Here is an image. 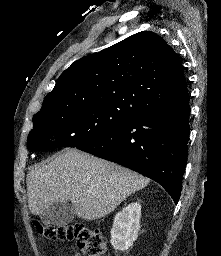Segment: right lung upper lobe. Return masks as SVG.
I'll use <instances>...</instances> for the list:
<instances>
[{"mask_svg":"<svg viewBox=\"0 0 221 256\" xmlns=\"http://www.w3.org/2000/svg\"><path fill=\"white\" fill-rule=\"evenodd\" d=\"M187 100L178 56L162 37L142 31L75 61L36 115L91 104L125 107L139 115Z\"/></svg>","mask_w":221,"mask_h":256,"instance_id":"right-lung-upper-lobe-1","label":"right lung upper lobe"}]
</instances>
